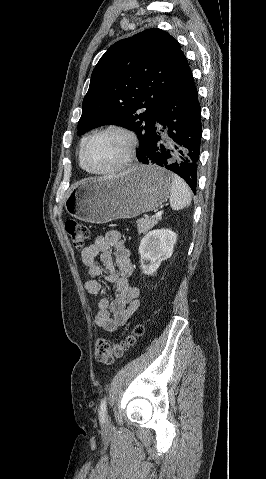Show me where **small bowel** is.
Wrapping results in <instances>:
<instances>
[{
    "mask_svg": "<svg viewBox=\"0 0 266 479\" xmlns=\"http://www.w3.org/2000/svg\"><path fill=\"white\" fill-rule=\"evenodd\" d=\"M111 249H115V263ZM81 259L90 275L84 288L89 294L98 296L95 324L113 332L127 324L139 306V289L129 284L133 265L121 233L113 230L96 236L92 244L82 251ZM103 275L107 282L114 285L115 296L112 299L99 281Z\"/></svg>",
    "mask_w": 266,
    "mask_h": 479,
    "instance_id": "c3829d8e",
    "label": "small bowel"
}]
</instances>
